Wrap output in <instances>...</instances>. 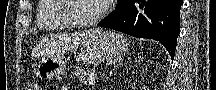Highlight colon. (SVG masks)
Wrapping results in <instances>:
<instances>
[{"instance_id": "1", "label": "colon", "mask_w": 216, "mask_h": 90, "mask_svg": "<svg viewBox=\"0 0 216 90\" xmlns=\"http://www.w3.org/2000/svg\"><path fill=\"white\" fill-rule=\"evenodd\" d=\"M26 90H40L39 85L36 82L30 81L26 85Z\"/></svg>"}]
</instances>
